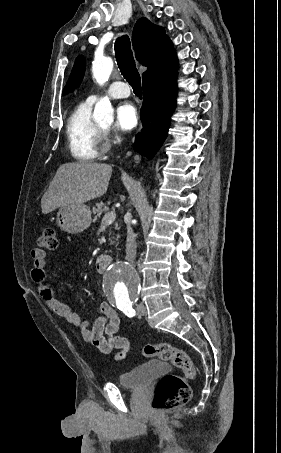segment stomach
I'll return each instance as SVG.
<instances>
[{
  "label": "stomach",
  "mask_w": 281,
  "mask_h": 453,
  "mask_svg": "<svg viewBox=\"0 0 281 453\" xmlns=\"http://www.w3.org/2000/svg\"><path fill=\"white\" fill-rule=\"evenodd\" d=\"M56 222L61 231H65V233H71V235L83 233L90 227L91 210L83 202L65 204V206H60Z\"/></svg>",
  "instance_id": "obj_1"
}]
</instances>
